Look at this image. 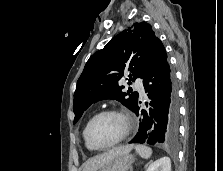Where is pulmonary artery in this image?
<instances>
[{"mask_svg":"<svg viewBox=\"0 0 223 171\" xmlns=\"http://www.w3.org/2000/svg\"><path fill=\"white\" fill-rule=\"evenodd\" d=\"M135 88L139 91V93L143 96L145 94L144 86L141 80H136Z\"/></svg>","mask_w":223,"mask_h":171,"instance_id":"pulmonary-artery-1","label":"pulmonary artery"}]
</instances>
